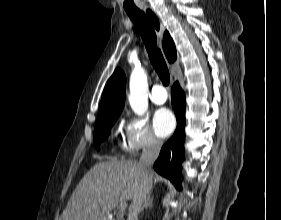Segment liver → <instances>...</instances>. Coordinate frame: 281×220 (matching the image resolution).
Segmentation results:
<instances>
[{"label":"liver","mask_w":281,"mask_h":220,"mask_svg":"<svg viewBox=\"0 0 281 220\" xmlns=\"http://www.w3.org/2000/svg\"><path fill=\"white\" fill-rule=\"evenodd\" d=\"M142 179L136 161L99 162L78 183L60 220H108L119 203L133 199Z\"/></svg>","instance_id":"1"}]
</instances>
